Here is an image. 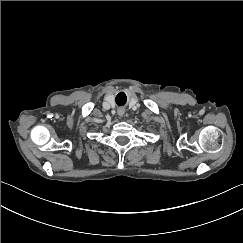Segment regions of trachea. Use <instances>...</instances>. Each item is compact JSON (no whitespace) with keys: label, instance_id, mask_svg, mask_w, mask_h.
<instances>
[{"label":"trachea","instance_id":"3493384b","mask_svg":"<svg viewBox=\"0 0 243 243\" xmlns=\"http://www.w3.org/2000/svg\"><path fill=\"white\" fill-rule=\"evenodd\" d=\"M115 101L118 106H123L127 101V96L121 92L116 96Z\"/></svg>","mask_w":243,"mask_h":243}]
</instances>
